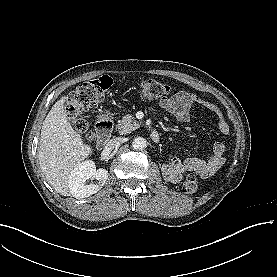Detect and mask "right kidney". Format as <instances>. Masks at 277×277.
<instances>
[{
	"label": "right kidney",
	"instance_id": "ca27d5eb",
	"mask_svg": "<svg viewBox=\"0 0 277 277\" xmlns=\"http://www.w3.org/2000/svg\"><path fill=\"white\" fill-rule=\"evenodd\" d=\"M108 172L104 169L96 170L95 163L92 160H86L77 165L72 171L70 178L73 187L77 190L81 198L91 196L97 193L100 186L97 184H86L90 178L97 179L101 183L107 180Z\"/></svg>",
	"mask_w": 277,
	"mask_h": 277
}]
</instances>
